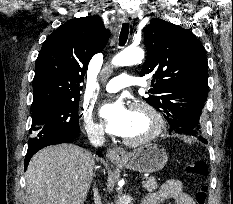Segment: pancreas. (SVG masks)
<instances>
[{"label": "pancreas", "instance_id": "1", "mask_svg": "<svg viewBox=\"0 0 233 204\" xmlns=\"http://www.w3.org/2000/svg\"><path fill=\"white\" fill-rule=\"evenodd\" d=\"M143 188L146 189L148 192H153L158 189V185L154 178H147L143 182Z\"/></svg>", "mask_w": 233, "mask_h": 204}]
</instances>
